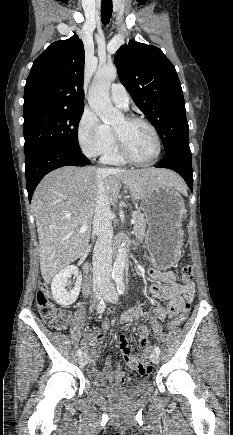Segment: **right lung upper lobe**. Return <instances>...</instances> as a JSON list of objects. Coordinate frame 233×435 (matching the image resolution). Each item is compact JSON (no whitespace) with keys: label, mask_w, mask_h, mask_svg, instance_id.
Instances as JSON below:
<instances>
[{"label":"right lung upper lobe","mask_w":233,"mask_h":435,"mask_svg":"<svg viewBox=\"0 0 233 435\" xmlns=\"http://www.w3.org/2000/svg\"><path fill=\"white\" fill-rule=\"evenodd\" d=\"M83 42L75 34L56 41L33 62L26 80L23 116L55 109H84Z\"/></svg>","instance_id":"right-lung-upper-lobe-1"}]
</instances>
